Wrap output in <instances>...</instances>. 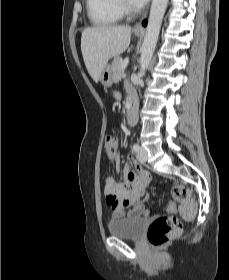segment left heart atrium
<instances>
[{
	"label": "left heart atrium",
	"instance_id": "1",
	"mask_svg": "<svg viewBox=\"0 0 229 280\" xmlns=\"http://www.w3.org/2000/svg\"><path fill=\"white\" fill-rule=\"evenodd\" d=\"M147 0H128L129 4L133 7H140L146 3Z\"/></svg>",
	"mask_w": 229,
	"mask_h": 280
}]
</instances>
